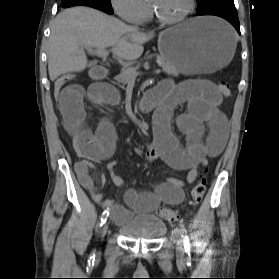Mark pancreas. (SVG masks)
<instances>
[{
  "instance_id": "cf45deb5",
  "label": "pancreas",
  "mask_w": 279,
  "mask_h": 279,
  "mask_svg": "<svg viewBox=\"0 0 279 279\" xmlns=\"http://www.w3.org/2000/svg\"><path fill=\"white\" fill-rule=\"evenodd\" d=\"M157 62L162 67L163 71L167 73L168 75H172L174 77H177L179 75V71L174 67L170 62H168L164 57L157 56ZM137 70L136 68L130 67L123 70L119 75L116 76V80L119 83L127 84L130 79L132 78V72Z\"/></svg>"
}]
</instances>
